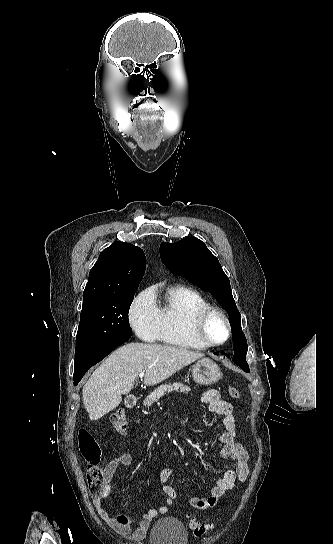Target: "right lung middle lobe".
<instances>
[{"label": "right lung middle lobe", "instance_id": "dd1d6c3e", "mask_svg": "<svg viewBox=\"0 0 333 544\" xmlns=\"http://www.w3.org/2000/svg\"><path fill=\"white\" fill-rule=\"evenodd\" d=\"M135 291L83 303L76 336L75 366L121 336H131L128 312Z\"/></svg>", "mask_w": 333, "mask_h": 544}]
</instances>
